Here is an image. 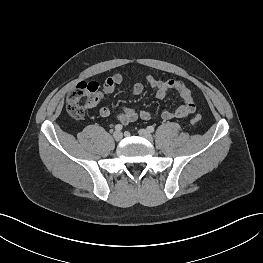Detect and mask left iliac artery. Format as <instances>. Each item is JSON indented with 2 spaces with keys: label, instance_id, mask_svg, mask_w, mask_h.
<instances>
[{
  "label": "left iliac artery",
  "instance_id": "left-iliac-artery-1",
  "mask_svg": "<svg viewBox=\"0 0 263 263\" xmlns=\"http://www.w3.org/2000/svg\"><path fill=\"white\" fill-rule=\"evenodd\" d=\"M147 130L152 133V132H154V127L153 126H148Z\"/></svg>",
  "mask_w": 263,
  "mask_h": 263
}]
</instances>
